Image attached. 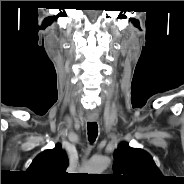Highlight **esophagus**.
Returning <instances> with one entry per match:
<instances>
[{"mask_svg": "<svg viewBox=\"0 0 184 184\" xmlns=\"http://www.w3.org/2000/svg\"><path fill=\"white\" fill-rule=\"evenodd\" d=\"M88 120H89L90 122H94V121L97 120V117H96V116H89V117H88Z\"/></svg>", "mask_w": 184, "mask_h": 184, "instance_id": "1", "label": "esophagus"}]
</instances>
